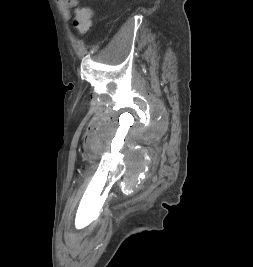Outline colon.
I'll return each mask as SVG.
<instances>
[{
	"label": "colon",
	"mask_w": 253,
	"mask_h": 267,
	"mask_svg": "<svg viewBox=\"0 0 253 267\" xmlns=\"http://www.w3.org/2000/svg\"><path fill=\"white\" fill-rule=\"evenodd\" d=\"M74 27L78 32L85 34L89 31L92 24V11L87 7H80L75 10L73 20Z\"/></svg>",
	"instance_id": "5ec220e1"
}]
</instances>
